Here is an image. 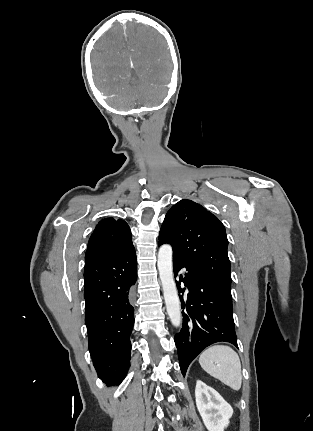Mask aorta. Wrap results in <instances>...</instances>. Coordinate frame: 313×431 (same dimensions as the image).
Segmentation results:
<instances>
[{
	"label": "aorta",
	"mask_w": 313,
	"mask_h": 431,
	"mask_svg": "<svg viewBox=\"0 0 313 431\" xmlns=\"http://www.w3.org/2000/svg\"><path fill=\"white\" fill-rule=\"evenodd\" d=\"M157 267L169 319L175 327H179L182 323V315L180 300L173 276L172 247L170 245L164 244L160 247Z\"/></svg>",
	"instance_id": "aorta-1"
}]
</instances>
